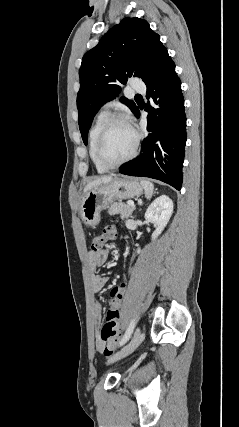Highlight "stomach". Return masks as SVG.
Segmentation results:
<instances>
[{"label": "stomach", "mask_w": 239, "mask_h": 427, "mask_svg": "<svg viewBox=\"0 0 239 427\" xmlns=\"http://www.w3.org/2000/svg\"><path fill=\"white\" fill-rule=\"evenodd\" d=\"M142 191V185L129 177L116 178L110 184L95 187L82 198L81 218L87 225L96 226L100 222V212L112 202L139 196Z\"/></svg>", "instance_id": "0dacf381"}]
</instances>
